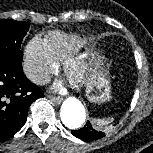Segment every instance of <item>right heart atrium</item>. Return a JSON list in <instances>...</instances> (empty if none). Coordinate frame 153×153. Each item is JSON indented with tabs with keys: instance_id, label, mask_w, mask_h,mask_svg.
Listing matches in <instances>:
<instances>
[{
	"instance_id": "obj_1",
	"label": "right heart atrium",
	"mask_w": 153,
	"mask_h": 153,
	"mask_svg": "<svg viewBox=\"0 0 153 153\" xmlns=\"http://www.w3.org/2000/svg\"><path fill=\"white\" fill-rule=\"evenodd\" d=\"M23 67L33 82L42 84L57 70L58 63L49 51L45 40L34 37L25 46Z\"/></svg>"
}]
</instances>
